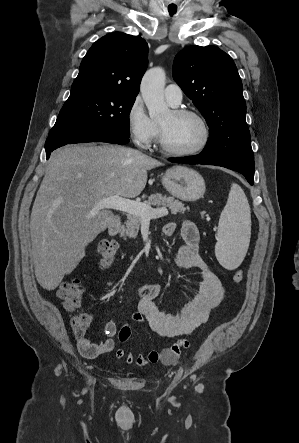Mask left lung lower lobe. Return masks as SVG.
I'll use <instances>...</instances> for the list:
<instances>
[{
	"label": "left lung lower lobe",
	"instance_id": "left-lung-lower-lobe-1",
	"mask_svg": "<svg viewBox=\"0 0 299 443\" xmlns=\"http://www.w3.org/2000/svg\"><path fill=\"white\" fill-rule=\"evenodd\" d=\"M171 162L185 163V164H205V165H216L225 167L234 171H237L245 176L250 185L254 183V160H241V161H230V162H220L211 160L202 156L201 154L195 156H187L181 158H170Z\"/></svg>",
	"mask_w": 299,
	"mask_h": 443
}]
</instances>
